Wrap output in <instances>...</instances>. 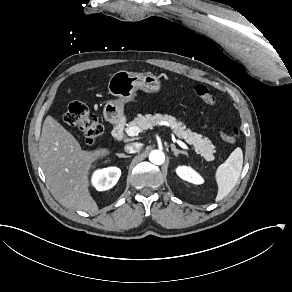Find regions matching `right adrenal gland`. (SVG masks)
Masks as SVG:
<instances>
[{
  "mask_svg": "<svg viewBox=\"0 0 292 292\" xmlns=\"http://www.w3.org/2000/svg\"><path fill=\"white\" fill-rule=\"evenodd\" d=\"M117 156L119 157V158H130L131 156L130 155H125V154H117Z\"/></svg>",
  "mask_w": 292,
  "mask_h": 292,
  "instance_id": "1",
  "label": "right adrenal gland"
}]
</instances>
